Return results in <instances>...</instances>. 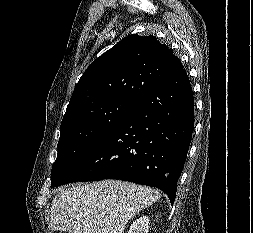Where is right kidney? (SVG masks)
<instances>
[{"mask_svg":"<svg viewBox=\"0 0 253 233\" xmlns=\"http://www.w3.org/2000/svg\"><path fill=\"white\" fill-rule=\"evenodd\" d=\"M150 219L143 216L131 224L128 233H148Z\"/></svg>","mask_w":253,"mask_h":233,"instance_id":"1","label":"right kidney"}]
</instances>
